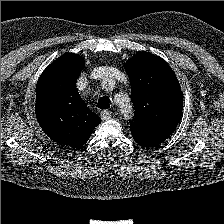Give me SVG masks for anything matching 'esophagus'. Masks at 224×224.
I'll list each match as a JSON object with an SVG mask.
<instances>
[{
	"instance_id": "esophagus-1",
	"label": "esophagus",
	"mask_w": 224,
	"mask_h": 224,
	"mask_svg": "<svg viewBox=\"0 0 224 224\" xmlns=\"http://www.w3.org/2000/svg\"><path fill=\"white\" fill-rule=\"evenodd\" d=\"M101 117H102V119H104V120H108V119H110V118L112 117V112H111L110 110H108V109L103 110V111L101 112Z\"/></svg>"
}]
</instances>
